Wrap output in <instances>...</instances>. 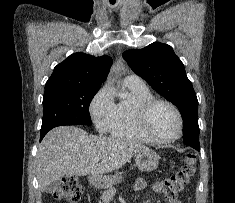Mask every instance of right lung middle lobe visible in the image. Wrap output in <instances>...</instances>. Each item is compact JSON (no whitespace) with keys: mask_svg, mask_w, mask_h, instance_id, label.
Returning <instances> with one entry per match:
<instances>
[{"mask_svg":"<svg viewBox=\"0 0 235 203\" xmlns=\"http://www.w3.org/2000/svg\"><path fill=\"white\" fill-rule=\"evenodd\" d=\"M99 88L87 85L45 88L41 132L62 125H91L89 105Z\"/></svg>","mask_w":235,"mask_h":203,"instance_id":"obj_1","label":"right lung middle lobe"}]
</instances>
